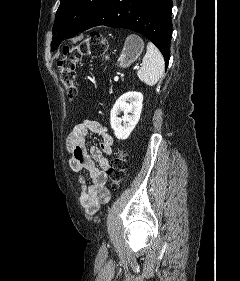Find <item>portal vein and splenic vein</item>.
Returning a JSON list of instances; mask_svg holds the SVG:
<instances>
[{
    "label": "portal vein and splenic vein",
    "instance_id": "obj_1",
    "mask_svg": "<svg viewBox=\"0 0 240 281\" xmlns=\"http://www.w3.org/2000/svg\"><path fill=\"white\" fill-rule=\"evenodd\" d=\"M134 69L138 70L139 66H135ZM114 81L118 82L119 81V77L118 76L114 77Z\"/></svg>",
    "mask_w": 240,
    "mask_h": 281
}]
</instances>
